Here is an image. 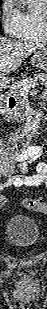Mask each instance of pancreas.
Masks as SVG:
<instances>
[{
	"mask_svg": "<svg viewBox=\"0 0 47 309\" xmlns=\"http://www.w3.org/2000/svg\"><path fill=\"white\" fill-rule=\"evenodd\" d=\"M39 81L40 84L46 85L47 84V75L45 73H38L35 74L33 78L28 77L24 79H19L15 82L10 87V91L13 93H16L20 96V101L25 103H22L20 105V108L17 109L14 114H13V119L19 123H24L22 126L23 128H30L32 127V122H29V118H32L33 113L31 112L30 109H27V99L21 97V93H25L29 88H24V84H30L31 82H37ZM38 83V82H37Z\"/></svg>",
	"mask_w": 47,
	"mask_h": 309,
	"instance_id": "cf45deb5",
	"label": "pancreas"
}]
</instances>
